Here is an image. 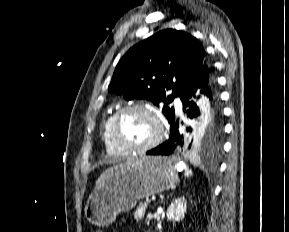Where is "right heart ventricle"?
Wrapping results in <instances>:
<instances>
[{"instance_id":"e07e8e85","label":"right heart ventricle","mask_w":289,"mask_h":232,"mask_svg":"<svg viewBox=\"0 0 289 232\" xmlns=\"http://www.w3.org/2000/svg\"><path fill=\"white\" fill-rule=\"evenodd\" d=\"M115 112L109 113L102 125V138L104 142V146L106 151L113 156H124L127 153L123 152L120 150L112 141L111 135H110V126H111V121L114 116Z\"/></svg>"}]
</instances>
